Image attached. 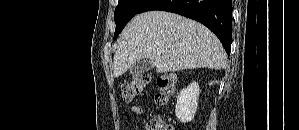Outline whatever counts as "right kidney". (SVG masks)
Here are the masks:
<instances>
[{
	"mask_svg": "<svg viewBox=\"0 0 299 130\" xmlns=\"http://www.w3.org/2000/svg\"><path fill=\"white\" fill-rule=\"evenodd\" d=\"M198 97L199 84L197 82H192L180 91L175 107V115L180 122L186 123L193 120L197 111Z\"/></svg>",
	"mask_w": 299,
	"mask_h": 130,
	"instance_id": "obj_1",
	"label": "right kidney"
}]
</instances>
